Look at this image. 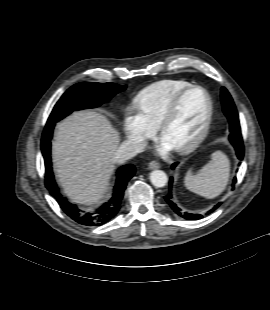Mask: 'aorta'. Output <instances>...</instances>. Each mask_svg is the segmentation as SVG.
I'll use <instances>...</instances> for the list:
<instances>
[{"label":"aorta","mask_w":270,"mask_h":310,"mask_svg":"<svg viewBox=\"0 0 270 310\" xmlns=\"http://www.w3.org/2000/svg\"><path fill=\"white\" fill-rule=\"evenodd\" d=\"M151 183L158 188L164 187L168 182L166 173L162 170H154L150 173Z\"/></svg>","instance_id":"obj_1"}]
</instances>
